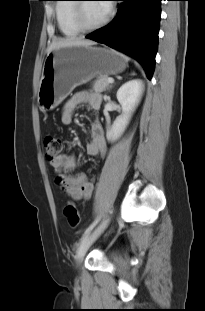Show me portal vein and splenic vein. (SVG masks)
Instances as JSON below:
<instances>
[{
    "instance_id": "portal-vein-and-splenic-vein-1",
    "label": "portal vein and splenic vein",
    "mask_w": 205,
    "mask_h": 311,
    "mask_svg": "<svg viewBox=\"0 0 205 311\" xmlns=\"http://www.w3.org/2000/svg\"><path fill=\"white\" fill-rule=\"evenodd\" d=\"M107 81H108L109 83H113V82H114V79H113V78H108Z\"/></svg>"
}]
</instances>
